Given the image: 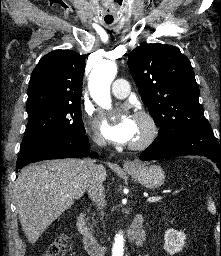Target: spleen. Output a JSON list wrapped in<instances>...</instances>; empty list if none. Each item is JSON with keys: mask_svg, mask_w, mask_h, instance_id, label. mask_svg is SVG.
Listing matches in <instances>:
<instances>
[{"mask_svg": "<svg viewBox=\"0 0 221 256\" xmlns=\"http://www.w3.org/2000/svg\"><path fill=\"white\" fill-rule=\"evenodd\" d=\"M208 210H209L212 214H215V213H216L215 204H214V202H213L211 199L208 201Z\"/></svg>", "mask_w": 221, "mask_h": 256, "instance_id": "spleen-1", "label": "spleen"}]
</instances>
